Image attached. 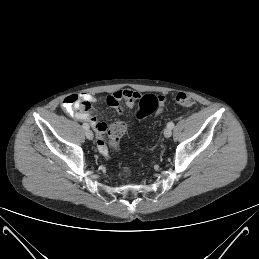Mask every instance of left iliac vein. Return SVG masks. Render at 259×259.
I'll list each match as a JSON object with an SVG mask.
<instances>
[{"label":"left iliac vein","instance_id":"1","mask_svg":"<svg viewBox=\"0 0 259 259\" xmlns=\"http://www.w3.org/2000/svg\"><path fill=\"white\" fill-rule=\"evenodd\" d=\"M171 135H172V130H171L169 127H166V128L164 129V136H165L166 138H169Z\"/></svg>","mask_w":259,"mask_h":259}]
</instances>
